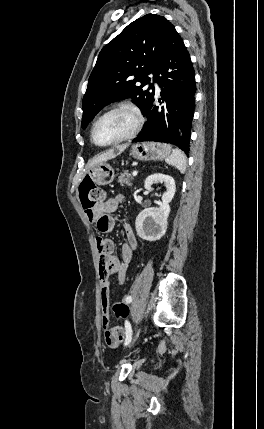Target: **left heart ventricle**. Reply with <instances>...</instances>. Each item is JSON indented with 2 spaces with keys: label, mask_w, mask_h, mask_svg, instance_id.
I'll return each mask as SVG.
<instances>
[{
  "label": "left heart ventricle",
  "mask_w": 264,
  "mask_h": 429,
  "mask_svg": "<svg viewBox=\"0 0 264 429\" xmlns=\"http://www.w3.org/2000/svg\"><path fill=\"white\" fill-rule=\"evenodd\" d=\"M134 126V119L124 112L110 114L103 118L95 130V139L106 144L127 135Z\"/></svg>",
  "instance_id": "b2bd125f"
}]
</instances>
